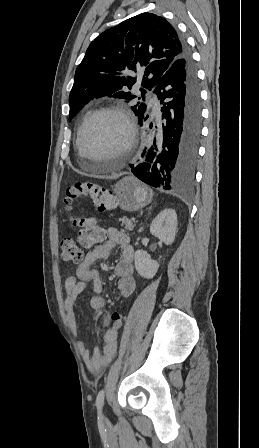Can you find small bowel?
Masks as SVG:
<instances>
[{"mask_svg":"<svg viewBox=\"0 0 259 448\" xmlns=\"http://www.w3.org/2000/svg\"><path fill=\"white\" fill-rule=\"evenodd\" d=\"M115 248L120 249L121 258L114 268V274L118 278L117 289L123 297H129L135 290L134 273V250L129 237L122 231L109 228L107 239L103 243L97 244L89 251L83 261L78 265L75 275L65 280L66 298L64 309L70 329L78 333L77 313L75 310L78 296L85 290L87 283L92 284V295L90 306L95 310H102L105 307V300L101 296L102 282L99 272L93 267L95 261L107 258ZM110 313L103 317L102 324L106 327L103 335V349L98 347L89 349L81 341L79 350L82 358L89 369L95 375L100 374L112 361L117 351V339L120 328L110 325Z\"/></svg>","mask_w":259,"mask_h":448,"instance_id":"obj_1","label":"small bowel"}]
</instances>
